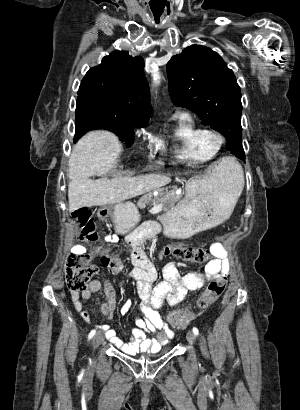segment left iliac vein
Segmentation results:
<instances>
[{"instance_id": "obj_1", "label": "left iliac vein", "mask_w": 300, "mask_h": 410, "mask_svg": "<svg viewBox=\"0 0 300 410\" xmlns=\"http://www.w3.org/2000/svg\"><path fill=\"white\" fill-rule=\"evenodd\" d=\"M186 338L190 345L193 346L195 344L196 336L192 331L187 332Z\"/></svg>"}]
</instances>
